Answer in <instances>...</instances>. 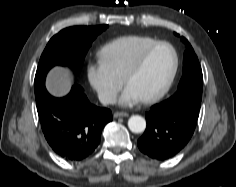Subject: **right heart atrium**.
Here are the masks:
<instances>
[{
  "mask_svg": "<svg viewBox=\"0 0 236 187\" xmlns=\"http://www.w3.org/2000/svg\"><path fill=\"white\" fill-rule=\"evenodd\" d=\"M89 84L104 104H111L116 100L123 81L113 75L100 63H91L86 69Z\"/></svg>",
  "mask_w": 236,
  "mask_h": 187,
  "instance_id": "obj_1",
  "label": "right heart atrium"
}]
</instances>
